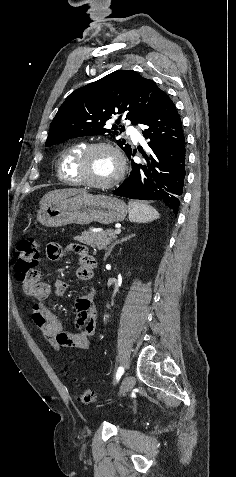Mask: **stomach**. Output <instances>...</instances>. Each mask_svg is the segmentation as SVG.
Masks as SVG:
<instances>
[{"label":"stomach","mask_w":236,"mask_h":477,"mask_svg":"<svg viewBox=\"0 0 236 477\" xmlns=\"http://www.w3.org/2000/svg\"><path fill=\"white\" fill-rule=\"evenodd\" d=\"M126 215L127 205L122 200L86 192L42 207L37 220L48 227L88 225L91 222L109 225L123 221Z\"/></svg>","instance_id":"0dacf381"}]
</instances>
